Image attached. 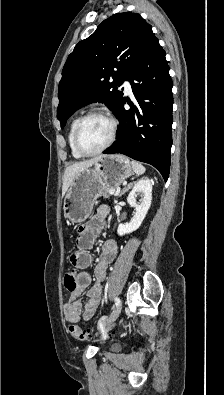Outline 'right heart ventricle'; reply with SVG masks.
<instances>
[{"label":"right heart ventricle","instance_id":"right-heart-ventricle-1","mask_svg":"<svg viewBox=\"0 0 224 395\" xmlns=\"http://www.w3.org/2000/svg\"><path fill=\"white\" fill-rule=\"evenodd\" d=\"M77 120H78L77 118L74 119L70 124L69 132H68V145H69V148H70L73 158L80 159L82 156L76 151V149L74 147V143H73L74 130H75Z\"/></svg>","mask_w":224,"mask_h":395}]
</instances>
